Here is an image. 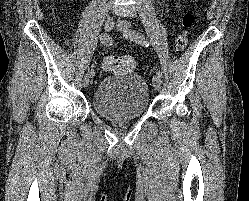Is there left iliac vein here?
Returning a JSON list of instances; mask_svg holds the SVG:
<instances>
[{
    "label": "left iliac vein",
    "mask_w": 249,
    "mask_h": 201,
    "mask_svg": "<svg viewBox=\"0 0 249 201\" xmlns=\"http://www.w3.org/2000/svg\"><path fill=\"white\" fill-rule=\"evenodd\" d=\"M117 27L126 38H128L130 40H134V38L131 35L133 30H132L131 25L128 21H126L124 19L118 20ZM152 83H153V87L155 90H160L162 81H161V78L159 76L155 75L152 78Z\"/></svg>",
    "instance_id": "1"
}]
</instances>
